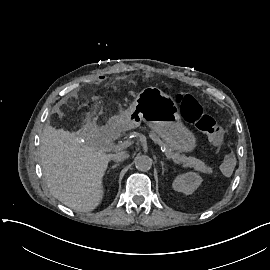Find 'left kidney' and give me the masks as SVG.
Returning a JSON list of instances; mask_svg holds the SVG:
<instances>
[{
  "label": "left kidney",
  "mask_w": 270,
  "mask_h": 270,
  "mask_svg": "<svg viewBox=\"0 0 270 270\" xmlns=\"http://www.w3.org/2000/svg\"><path fill=\"white\" fill-rule=\"evenodd\" d=\"M202 179L196 173H186L176 178L173 187L178 192H185L191 194L197 189Z\"/></svg>",
  "instance_id": "left-kidney-1"
}]
</instances>
